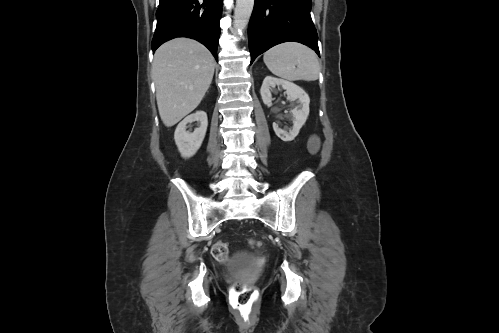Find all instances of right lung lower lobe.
Masks as SVG:
<instances>
[{
    "label": "right lung lower lobe",
    "mask_w": 499,
    "mask_h": 333,
    "mask_svg": "<svg viewBox=\"0 0 499 333\" xmlns=\"http://www.w3.org/2000/svg\"><path fill=\"white\" fill-rule=\"evenodd\" d=\"M222 0H160L152 50L176 37L204 44L217 58Z\"/></svg>",
    "instance_id": "obj_1"
}]
</instances>
